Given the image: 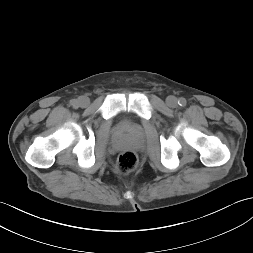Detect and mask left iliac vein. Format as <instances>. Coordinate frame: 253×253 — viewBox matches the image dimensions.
I'll return each instance as SVG.
<instances>
[{
    "label": "left iliac vein",
    "mask_w": 253,
    "mask_h": 253,
    "mask_svg": "<svg viewBox=\"0 0 253 253\" xmlns=\"http://www.w3.org/2000/svg\"><path fill=\"white\" fill-rule=\"evenodd\" d=\"M166 103L169 107H175L177 105V99L174 96H168Z\"/></svg>",
    "instance_id": "4c4485c4"
}]
</instances>
